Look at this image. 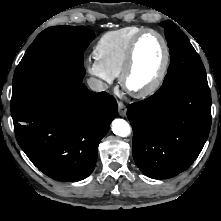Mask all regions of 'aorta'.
I'll return each mask as SVG.
<instances>
[{"label": "aorta", "instance_id": "1", "mask_svg": "<svg viewBox=\"0 0 221 221\" xmlns=\"http://www.w3.org/2000/svg\"><path fill=\"white\" fill-rule=\"evenodd\" d=\"M112 131L120 137H127L130 134V125L123 119H115L112 122Z\"/></svg>", "mask_w": 221, "mask_h": 221}]
</instances>
